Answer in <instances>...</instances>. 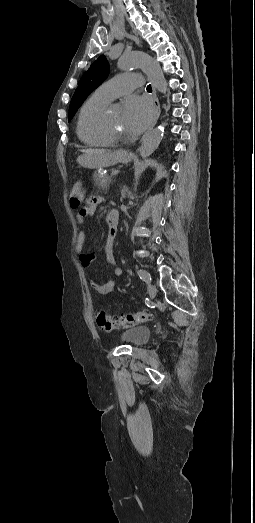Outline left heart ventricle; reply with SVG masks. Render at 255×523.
<instances>
[{
  "label": "left heart ventricle",
  "instance_id": "b2bd125f",
  "mask_svg": "<svg viewBox=\"0 0 255 523\" xmlns=\"http://www.w3.org/2000/svg\"><path fill=\"white\" fill-rule=\"evenodd\" d=\"M108 115L113 129L117 132L119 136L123 138L132 137V133L129 129L128 122L124 115V111H122L121 109H109Z\"/></svg>",
  "mask_w": 255,
  "mask_h": 523
}]
</instances>
